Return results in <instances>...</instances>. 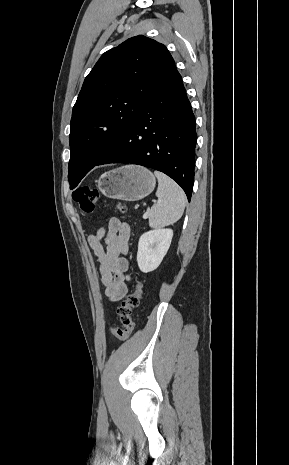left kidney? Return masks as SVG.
<instances>
[{"label": "left kidney", "mask_w": 289, "mask_h": 465, "mask_svg": "<svg viewBox=\"0 0 289 465\" xmlns=\"http://www.w3.org/2000/svg\"><path fill=\"white\" fill-rule=\"evenodd\" d=\"M173 230L155 229L141 235L138 243L137 263L143 273L154 271L166 255Z\"/></svg>", "instance_id": "left-kidney-1"}]
</instances>
